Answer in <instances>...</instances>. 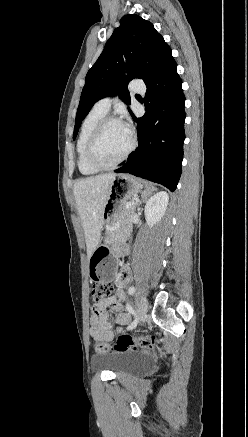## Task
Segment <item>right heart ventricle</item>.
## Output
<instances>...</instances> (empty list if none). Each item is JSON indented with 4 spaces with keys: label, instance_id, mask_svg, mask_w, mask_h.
<instances>
[{
    "label": "right heart ventricle",
    "instance_id": "1",
    "mask_svg": "<svg viewBox=\"0 0 248 437\" xmlns=\"http://www.w3.org/2000/svg\"><path fill=\"white\" fill-rule=\"evenodd\" d=\"M106 116L95 108H93L82 121L77 143V165L81 174L89 176L98 173L99 170L92 167L86 157V147L91 133L93 132L97 123Z\"/></svg>",
    "mask_w": 248,
    "mask_h": 437
}]
</instances>
